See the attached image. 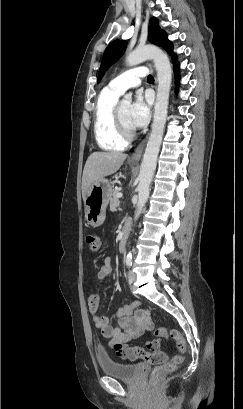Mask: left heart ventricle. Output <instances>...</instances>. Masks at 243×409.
Returning <instances> with one entry per match:
<instances>
[{"mask_svg": "<svg viewBox=\"0 0 243 409\" xmlns=\"http://www.w3.org/2000/svg\"><path fill=\"white\" fill-rule=\"evenodd\" d=\"M130 104L129 103H122L120 104V117L123 121V123L129 127L132 128L129 122V110H130Z\"/></svg>", "mask_w": 243, "mask_h": 409, "instance_id": "obj_1", "label": "left heart ventricle"}]
</instances>
